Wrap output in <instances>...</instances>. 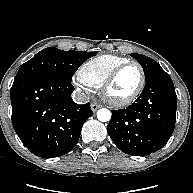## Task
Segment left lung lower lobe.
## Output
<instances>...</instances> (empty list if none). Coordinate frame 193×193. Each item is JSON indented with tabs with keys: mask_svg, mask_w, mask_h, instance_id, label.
I'll use <instances>...</instances> for the list:
<instances>
[{
	"mask_svg": "<svg viewBox=\"0 0 193 193\" xmlns=\"http://www.w3.org/2000/svg\"><path fill=\"white\" fill-rule=\"evenodd\" d=\"M177 96L170 76L162 69L148 80L139 98L125 109L112 110L107 132L124 153L147 156L161 149L176 122Z\"/></svg>",
	"mask_w": 193,
	"mask_h": 193,
	"instance_id": "obj_1",
	"label": "left lung lower lobe"
}]
</instances>
